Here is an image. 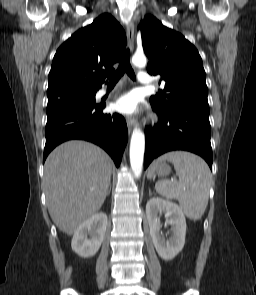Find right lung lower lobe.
<instances>
[{
    "instance_id": "1",
    "label": "right lung lower lobe",
    "mask_w": 256,
    "mask_h": 295,
    "mask_svg": "<svg viewBox=\"0 0 256 295\" xmlns=\"http://www.w3.org/2000/svg\"><path fill=\"white\" fill-rule=\"evenodd\" d=\"M105 106L72 98L48 99L43 161L60 143L83 139L102 147L119 166L128 140L127 125L119 114H103Z\"/></svg>"
}]
</instances>
